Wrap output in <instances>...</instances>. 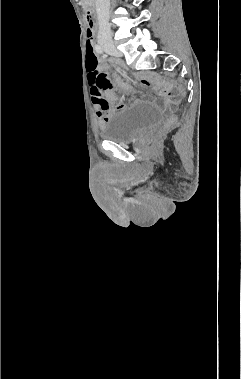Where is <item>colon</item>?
Segmentation results:
<instances>
[{
  "label": "colon",
  "mask_w": 241,
  "mask_h": 379,
  "mask_svg": "<svg viewBox=\"0 0 241 379\" xmlns=\"http://www.w3.org/2000/svg\"><path fill=\"white\" fill-rule=\"evenodd\" d=\"M87 80L90 82V89H94L96 95L103 100V91L111 86V82L106 76L98 71V57L93 51L91 33L87 30V52H86ZM166 98L167 95L164 94ZM173 123L169 120L168 124Z\"/></svg>",
  "instance_id": "1"
}]
</instances>
